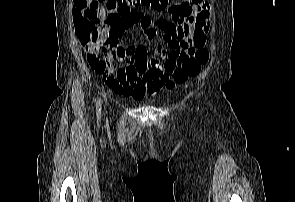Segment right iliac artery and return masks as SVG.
I'll list each match as a JSON object with an SVG mask.
<instances>
[{
  "label": "right iliac artery",
  "mask_w": 295,
  "mask_h": 202,
  "mask_svg": "<svg viewBox=\"0 0 295 202\" xmlns=\"http://www.w3.org/2000/svg\"><path fill=\"white\" fill-rule=\"evenodd\" d=\"M96 109H97V115L100 116V114H101V102H100V100H98V102H97Z\"/></svg>",
  "instance_id": "1"
}]
</instances>
